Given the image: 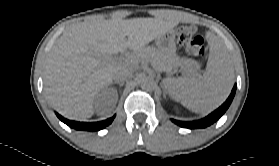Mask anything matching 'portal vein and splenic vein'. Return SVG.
Instances as JSON below:
<instances>
[{"label":"portal vein and splenic vein","mask_w":279,"mask_h":166,"mask_svg":"<svg viewBox=\"0 0 279 166\" xmlns=\"http://www.w3.org/2000/svg\"><path fill=\"white\" fill-rule=\"evenodd\" d=\"M105 62L107 63H122V62H133V59L131 56H126V57H120V58H114L112 56H106L104 58ZM190 72H193V70H189Z\"/></svg>","instance_id":"portal-vein-and-splenic-vein-1"}]
</instances>
